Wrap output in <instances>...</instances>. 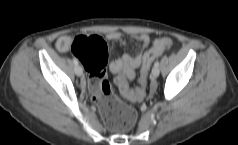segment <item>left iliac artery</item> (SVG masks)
Segmentation results:
<instances>
[{
	"label": "left iliac artery",
	"instance_id": "obj_1",
	"mask_svg": "<svg viewBox=\"0 0 238 145\" xmlns=\"http://www.w3.org/2000/svg\"><path fill=\"white\" fill-rule=\"evenodd\" d=\"M154 66H159V60L154 63Z\"/></svg>",
	"mask_w": 238,
	"mask_h": 145
}]
</instances>
